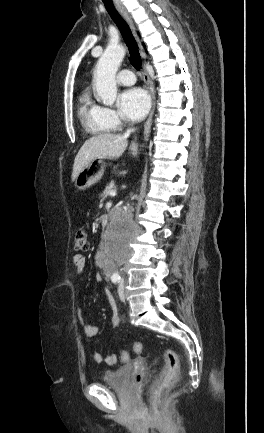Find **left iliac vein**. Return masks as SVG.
<instances>
[{
    "label": "left iliac vein",
    "mask_w": 264,
    "mask_h": 433,
    "mask_svg": "<svg viewBox=\"0 0 264 433\" xmlns=\"http://www.w3.org/2000/svg\"><path fill=\"white\" fill-rule=\"evenodd\" d=\"M118 294L121 301L125 300V294H124V280H121L118 286Z\"/></svg>",
    "instance_id": "obj_1"
}]
</instances>
